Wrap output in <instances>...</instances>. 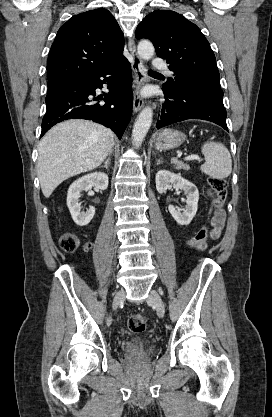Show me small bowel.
I'll return each mask as SVG.
<instances>
[{
    "label": "small bowel",
    "mask_w": 272,
    "mask_h": 417,
    "mask_svg": "<svg viewBox=\"0 0 272 417\" xmlns=\"http://www.w3.org/2000/svg\"><path fill=\"white\" fill-rule=\"evenodd\" d=\"M208 195L212 196V192L210 190L208 191ZM224 224H225L224 210L223 209L216 210L211 219L212 229L210 231L209 237L212 240H215L220 236L222 229L224 228ZM204 246H205V242L201 243L197 248H203Z\"/></svg>",
    "instance_id": "c3829d8e"
}]
</instances>
